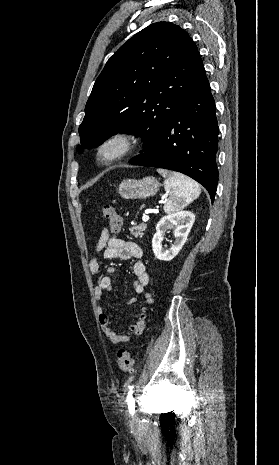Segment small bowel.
<instances>
[{"label":"small bowel","mask_w":279,"mask_h":465,"mask_svg":"<svg viewBox=\"0 0 279 465\" xmlns=\"http://www.w3.org/2000/svg\"><path fill=\"white\" fill-rule=\"evenodd\" d=\"M101 256L105 259H134L133 274L136 277L133 283L134 292L136 294H143L147 304L153 303L152 295L145 293V288L149 284V275L146 271L145 263L142 260L143 250L139 244L111 237L108 228L104 227L95 246L93 255L89 260V270L92 275H97L100 270ZM106 272L107 274L101 276L98 279L97 285L94 287V297L97 302L102 301L105 292L111 291L113 288V281L110 274L115 272V269L109 267ZM135 301V298L131 299L128 305L133 304ZM146 317L147 308L142 307L136 322L130 325L126 331L121 332L113 328L109 315L99 307V321L102 331L106 339L113 344L129 343L141 336L145 330Z\"/></svg>","instance_id":"obj_1"}]
</instances>
